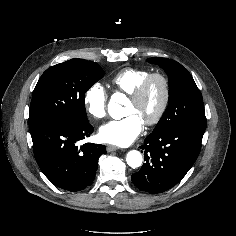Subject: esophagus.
<instances>
[{
	"label": "esophagus",
	"mask_w": 236,
	"mask_h": 236,
	"mask_svg": "<svg viewBox=\"0 0 236 236\" xmlns=\"http://www.w3.org/2000/svg\"><path fill=\"white\" fill-rule=\"evenodd\" d=\"M106 149L108 152H112V151L119 150L120 148L114 145H107Z\"/></svg>",
	"instance_id": "obj_1"
}]
</instances>
